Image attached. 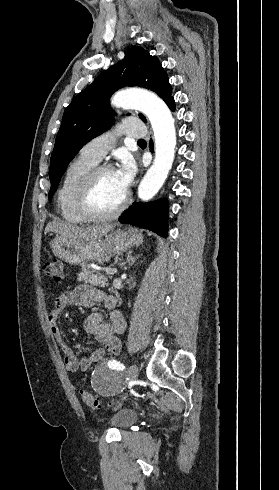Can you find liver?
Instances as JSON below:
<instances>
[{"mask_svg": "<svg viewBox=\"0 0 279 490\" xmlns=\"http://www.w3.org/2000/svg\"><path fill=\"white\" fill-rule=\"evenodd\" d=\"M112 228H114V224L89 226V228H76V226H71V224H64V222L53 220V222L47 224L45 234H47V232H54V234H58L60 238H68V240H74V242H90V240L102 238V236L107 234Z\"/></svg>", "mask_w": 279, "mask_h": 490, "instance_id": "obj_1", "label": "liver"}]
</instances>
